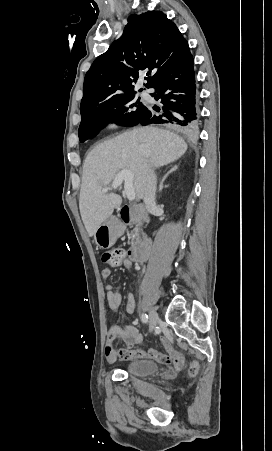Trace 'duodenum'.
<instances>
[{"mask_svg":"<svg viewBox=\"0 0 272 451\" xmlns=\"http://www.w3.org/2000/svg\"><path fill=\"white\" fill-rule=\"evenodd\" d=\"M143 207L140 205H125L120 210V218L124 223H135L143 216ZM151 247V241L148 238L130 247L128 256L132 261H143L147 258Z\"/></svg>","mask_w":272,"mask_h":451,"instance_id":"1","label":"duodenum"}]
</instances>
